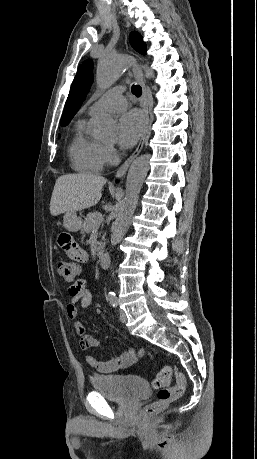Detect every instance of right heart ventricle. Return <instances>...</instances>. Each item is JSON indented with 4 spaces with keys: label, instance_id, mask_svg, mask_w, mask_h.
<instances>
[{
    "label": "right heart ventricle",
    "instance_id": "obj_1",
    "mask_svg": "<svg viewBox=\"0 0 257 459\" xmlns=\"http://www.w3.org/2000/svg\"><path fill=\"white\" fill-rule=\"evenodd\" d=\"M102 146L100 142L87 135L86 120H79L68 150L72 168L83 173L100 172L104 165Z\"/></svg>",
    "mask_w": 257,
    "mask_h": 459
}]
</instances>
